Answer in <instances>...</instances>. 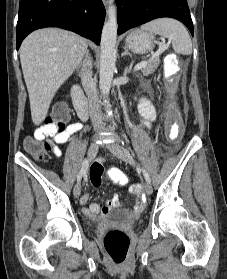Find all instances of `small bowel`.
<instances>
[{"mask_svg":"<svg viewBox=\"0 0 227 279\" xmlns=\"http://www.w3.org/2000/svg\"><path fill=\"white\" fill-rule=\"evenodd\" d=\"M139 112L146 122L154 121L156 119V109L154 105L147 98H142L140 100ZM79 129H80V125L76 123L67 125V127L62 131H57L53 126L47 125L42 128H39L35 132L34 136L29 137L28 140L46 139V142H48L51 145L49 151L55 156H59L61 154V150L59 149L58 145L67 142L69 137L75 132H77ZM113 170L114 168H109L106 170L102 168V171L90 176V184L94 187H99L102 182V177L104 175L111 176ZM132 189L135 192L139 191L138 186H133ZM87 200H88V196L84 194L80 200L81 204H85ZM117 203H118V198L114 197L112 200L105 202L104 208L109 209L110 206L116 205ZM100 209L101 206L97 203H94L89 206L83 207L82 211L86 215H92L99 212Z\"/></svg>","mask_w":227,"mask_h":279,"instance_id":"c3829d8e","label":"small bowel"}]
</instances>
